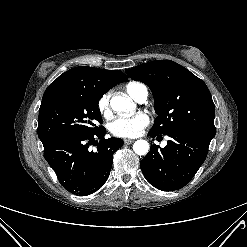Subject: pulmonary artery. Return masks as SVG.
<instances>
[{"mask_svg": "<svg viewBox=\"0 0 247 247\" xmlns=\"http://www.w3.org/2000/svg\"><path fill=\"white\" fill-rule=\"evenodd\" d=\"M148 97V90L147 88L144 86V85H141L135 95H134V99L137 101V102H144Z\"/></svg>", "mask_w": 247, "mask_h": 247, "instance_id": "1", "label": "pulmonary artery"}]
</instances>
